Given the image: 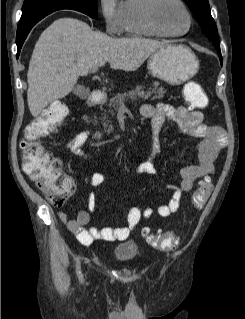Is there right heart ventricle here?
I'll return each mask as SVG.
<instances>
[{"label": "right heart ventricle", "mask_w": 245, "mask_h": 319, "mask_svg": "<svg viewBox=\"0 0 245 319\" xmlns=\"http://www.w3.org/2000/svg\"><path fill=\"white\" fill-rule=\"evenodd\" d=\"M148 0H124L121 2L122 31L129 35L162 36L148 25L145 5Z\"/></svg>", "instance_id": "e07e8e85"}]
</instances>
